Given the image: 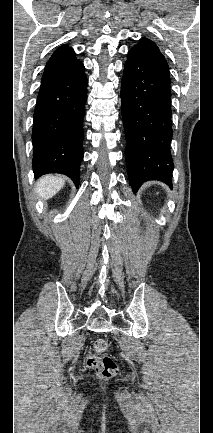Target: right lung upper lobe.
<instances>
[{
    "instance_id": "cb5924a9",
    "label": "right lung upper lobe",
    "mask_w": 213,
    "mask_h": 433,
    "mask_svg": "<svg viewBox=\"0 0 213 433\" xmlns=\"http://www.w3.org/2000/svg\"><path fill=\"white\" fill-rule=\"evenodd\" d=\"M72 58H75L73 49L70 48L68 45H62L59 48H57V50L52 54L48 63H51L56 60L72 59Z\"/></svg>"
}]
</instances>
